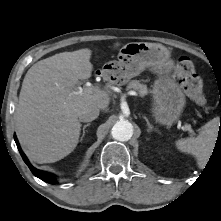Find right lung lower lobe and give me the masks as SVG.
<instances>
[{"instance_id": "98d812e1", "label": "right lung lower lobe", "mask_w": 221, "mask_h": 221, "mask_svg": "<svg viewBox=\"0 0 221 221\" xmlns=\"http://www.w3.org/2000/svg\"><path fill=\"white\" fill-rule=\"evenodd\" d=\"M14 140L16 142V145L18 146V150L24 160V162L28 165V167L30 168L31 172L38 178H40L41 180L50 183V184H54L57 182L56 177L53 174L38 170L36 168H34L28 161L27 157L25 156V154L23 153V151L21 150L18 140L16 138V136L14 135Z\"/></svg>"}]
</instances>
